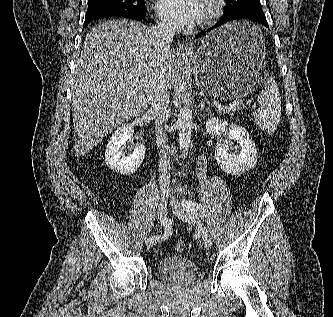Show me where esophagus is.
<instances>
[{"label": "esophagus", "instance_id": "obj_1", "mask_svg": "<svg viewBox=\"0 0 333 317\" xmlns=\"http://www.w3.org/2000/svg\"><path fill=\"white\" fill-rule=\"evenodd\" d=\"M191 55L190 49L183 44H180L176 51V56L180 59H188Z\"/></svg>", "mask_w": 333, "mask_h": 317}]
</instances>
